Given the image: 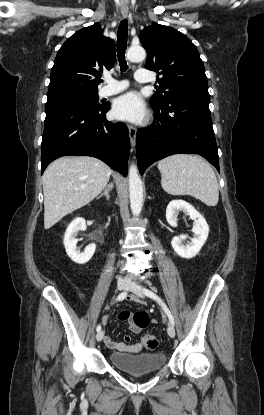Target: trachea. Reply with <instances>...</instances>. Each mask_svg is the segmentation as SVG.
Wrapping results in <instances>:
<instances>
[{
  "label": "trachea",
  "instance_id": "trachea-1",
  "mask_svg": "<svg viewBox=\"0 0 264 415\" xmlns=\"http://www.w3.org/2000/svg\"><path fill=\"white\" fill-rule=\"evenodd\" d=\"M127 37H128V21L127 19H124L121 21L118 27V35H117V57H118L121 71H125L128 67L127 61L125 59Z\"/></svg>",
  "mask_w": 264,
  "mask_h": 415
}]
</instances>
